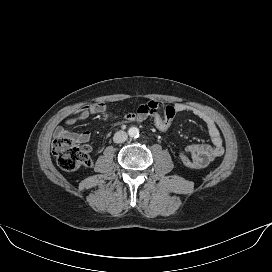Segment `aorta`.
I'll list each match as a JSON object with an SVG mask.
<instances>
[{
	"instance_id": "aorta-1",
	"label": "aorta",
	"mask_w": 272,
	"mask_h": 272,
	"mask_svg": "<svg viewBox=\"0 0 272 272\" xmlns=\"http://www.w3.org/2000/svg\"><path fill=\"white\" fill-rule=\"evenodd\" d=\"M128 134L132 138H138L139 137V129L137 127H131L128 130Z\"/></svg>"
}]
</instances>
